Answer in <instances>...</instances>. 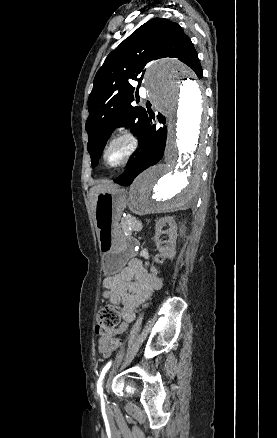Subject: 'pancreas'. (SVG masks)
<instances>
[{
	"mask_svg": "<svg viewBox=\"0 0 277 438\" xmlns=\"http://www.w3.org/2000/svg\"><path fill=\"white\" fill-rule=\"evenodd\" d=\"M138 215L130 214L129 218L124 220L123 232L124 233H145L146 232V220H141V224H138Z\"/></svg>",
	"mask_w": 277,
	"mask_h": 438,
	"instance_id": "obj_1",
	"label": "pancreas"
}]
</instances>
